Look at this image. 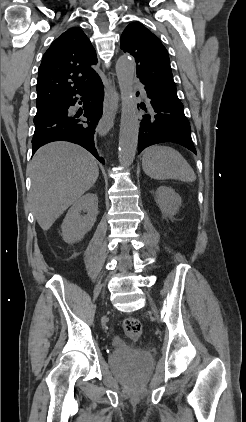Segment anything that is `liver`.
<instances>
[{
  "instance_id": "6515ba94",
  "label": "liver",
  "mask_w": 246,
  "mask_h": 422,
  "mask_svg": "<svg viewBox=\"0 0 246 422\" xmlns=\"http://www.w3.org/2000/svg\"><path fill=\"white\" fill-rule=\"evenodd\" d=\"M29 200L39 226L47 231L96 182L99 169L84 148L58 141L41 147L30 166Z\"/></svg>"
}]
</instances>
